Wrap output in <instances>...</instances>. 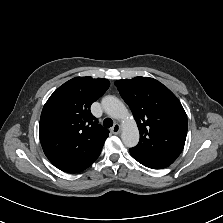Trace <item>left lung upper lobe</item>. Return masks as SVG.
I'll list each match as a JSON object with an SVG mask.
<instances>
[{"label":"left lung upper lobe","instance_id":"obj_1","mask_svg":"<svg viewBox=\"0 0 223 223\" xmlns=\"http://www.w3.org/2000/svg\"><path fill=\"white\" fill-rule=\"evenodd\" d=\"M137 122L140 140L131 155L171 164L183 150L187 116L177 97L162 83L149 77L115 82Z\"/></svg>","mask_w":223,"mask_h":223}]
</instances>
